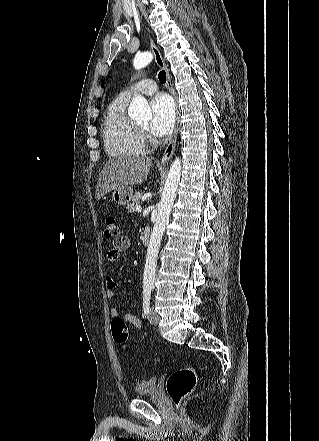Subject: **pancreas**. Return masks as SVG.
Masks as SVG:
<instances>
[{
	"mask_svg": "<svg viewBox=\"0 0 319 441\" xmlns=\"http://www.w3.org/2000/svg\"><path fill=\"white\" fill-rule=\"evenodd\" d=\"M141 200V194L139 192H136L133 196L131 203L127 205V210L129 213L135 212L136 207L139 206Z\"/></svg>",
	"mask_w": 319,
	"mask_h": 441,
	"instance_id": "cf45deb5",
	"label": "pancreas"
}]
</instances>
